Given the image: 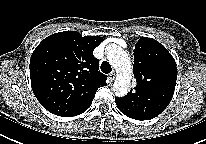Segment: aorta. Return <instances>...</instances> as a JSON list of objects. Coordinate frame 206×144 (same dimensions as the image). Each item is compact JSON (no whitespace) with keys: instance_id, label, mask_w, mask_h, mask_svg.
<instances>
[{"instance_id":"obj_1","label":"aorta","mask_w":206,"mask_h":144,"mask_svg":"<svg viewBox=\"0 0 206 144\" xmlns=\"http://www.w3.org/2000/svg\"><path fill=\"white\" fill-rule=\"evenodd\" d=\"M109 63L115 68L117 77L113 84L116 96H125L130 88L132 79V65L127 53L119 46L113 44L106 47Z\"/></svg>"}]
</instances>
